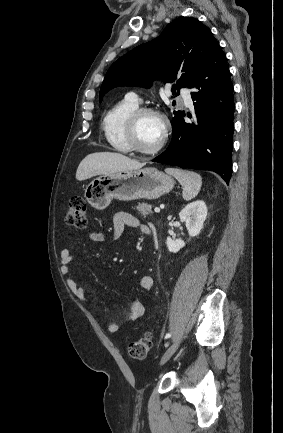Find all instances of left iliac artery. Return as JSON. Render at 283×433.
<instances>
[{"instance_id":"obj_1","label":"left iliac artery","mask_w":283,"mask_h":433,"mask_svg":"<svg viewBox=\"0 0 283 433\" xmlns=\"http://www.w3.org/2000/svg\"><path fill=\"white\" fill-rule=\"evenodd\" d=\"M171 337V334L170 333H167L166 335H165V339H168V338H170Z\"/></svg>"}]
</instances>
